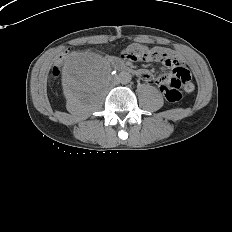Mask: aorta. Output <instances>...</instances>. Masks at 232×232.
I'll return each instance as SVG.
<instances>
[{"label": "aorta", "instance_id": "obj_1", "mask_svg": "<svg viewBox=\"0 0 232 232\" xmlns=\"http://www.w3.org/2000/svg\"><path fill=\"white\" fill-rule=\"evenodd\" d=\"M119 80L122 84H127L130 82L131 76L127 72H122L119 74Z\"/></svg>", "mask_w": 232, "mask_h": 232}]
</instances>
